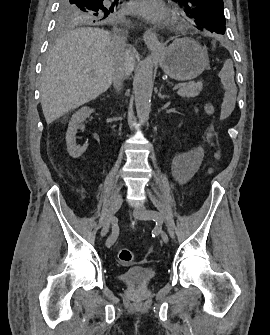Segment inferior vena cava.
<instances>
[{
    "label": "inferior vena cava",
    "mask_w": 270,
    "mask_h": 335,
    "mask_svg": "<svg viewBox=\"0 0 270 335\" xmlns=\"http://www.w3.org/2000/svg\"><path fill=\"white\" fill-rule=\"evenodd\" d=\"M114 38H116V40H118L119 44H122V46H127L126 36H120V34H114ZM128 76L129 74L127 72L126 66H124V68H119V70H115L112 76V82L114 84V88H116V90H121L122 82L123 80H126Z\"/></svg>",
    "instance_id": "1"
}]
</instances>
